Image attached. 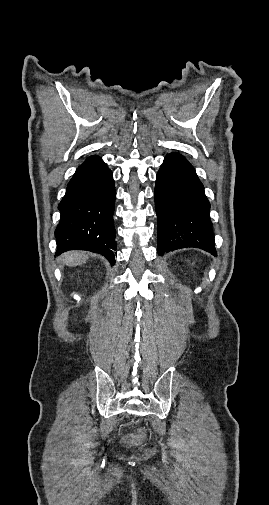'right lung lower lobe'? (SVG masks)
<instances>
[{"label": "right lung lower lobe", "instance_id": "98d812e1", "mask_svg": "<svg viewBox=\"0 0 269 505\" xmlns=\"http://www.w3.org/2000/svg\"><path fill=\"white\" fill-rule=\"evenodd\" d=\"M115 185L111 170L98 156H90L78 167L67 185L58 209L55 230L56 255L68 250H86L104 255L115 263Z\"/></svg>", "mask_w": 269, "mask_h": 505}]
</instances>
